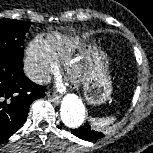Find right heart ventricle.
<instances>
[{"mask_svg":"<svg viewBox=\"0 0 153 153\" xmlns=\"http://www.w3.org/2000/svg\"><path fill=\"white\" fill-rule=\"evenodd\" d=\"M46 44L57 62L69 60L79 46L77 40L59 34L50 35Z\"/></svg>","mask_w":153,"mask_h":153,"instance_id":"obj_1","label":"right heart ventricle"}]
</instances>
